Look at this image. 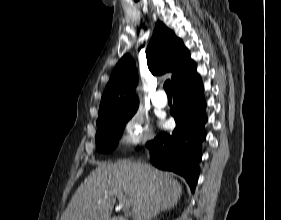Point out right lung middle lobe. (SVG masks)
I'll return each instance as SVG.
<instances>
[{
  "label": "right lung middle lobe",
  "instance_id": "dd1d6c3e",
  "mask_svg": "<svg viewBox=\"0 0 281 220\" xmlns=\"http://www.w3.org/2000/svg\"><path fill=\"white\" fill-rule=\"evenodd\" d=\"M135 112L111 117L97 123L96 148L98 152L108 153L116 148L125 124Z\"/></svg>",
  "mask_w": 281,
  "mask_h": 220
}]
</instances>
